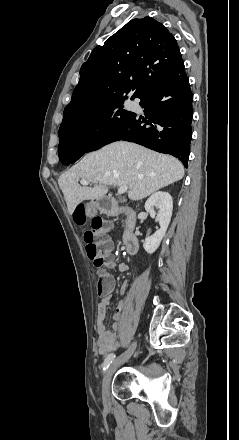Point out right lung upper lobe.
I'll return each instance as SVG.
<instances>
[{"label":"right lung upper lobe","mask_w":239,"mask_h":440,"mask_svg":"<svg viewBox=\"0 0 239 440\" xmlns=\"http://www.w3.org/2000/svg\"><path fill=\"white\" fill-rule=\"evenodd\" d=\"M181 60L175 38L162 23L151 17L129 21L82 65L63 122L114 98L140 96Z\"/></svg>","instance_id":"right-lung-upper-lobe-1"}]
</instances>
